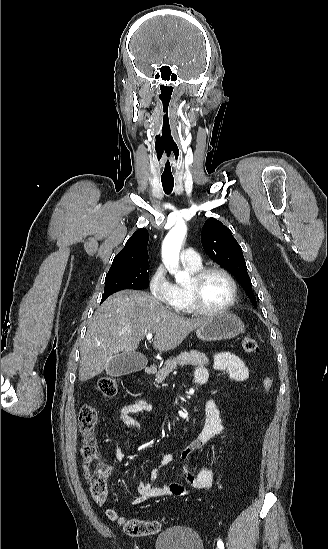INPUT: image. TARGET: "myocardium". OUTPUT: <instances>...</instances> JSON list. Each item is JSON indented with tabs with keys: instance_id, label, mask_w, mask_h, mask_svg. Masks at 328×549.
<instances>
[{
	"instance_id": "myocardium-1",
	"label": "myocardium",
	"mask_w": 328,
	"mask_h": 549,
	"mask_svg": "<svg viewBox=\"0 0 328 549\" xmlns=\"http://www.w3.org/2000/svg\"><path fill=\"white\" fill-rule=\"evenodd\" d=\"M212 271H219L224 274L229 280L232 287L230 300L224 306L218 309H207L201 307L203 302L198 295L199 283L208 273ZM238 292V284L233 274L226 266L216 262L205 263L198 270L191 272L190 281L188 284H186V293L190 301L188 308L199 317L220 316L229 312L233 309L234 305L237 302Z\"/></svg>"
}]
</instances>
